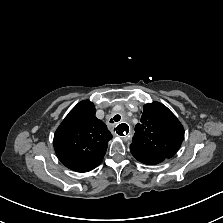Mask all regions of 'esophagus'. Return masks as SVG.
I'll use <instances>...</instances> for the list:
<instances>
[{"instance_id": "obj_1", "label": "esophagus", "mask_w": 223, "mask_h": 223, "mask_svg": "<svg viewBox=\"0 0 223 223\" xmlns=\"http://www.w3.org/2000/svg\"><path fill=\"white\" fill-rule=\"evenodd\" d=\"M117 129V135H119L124 140H128L130 138L131 128L129 125L122 123L116 127ZM115 132V134H116Z\"/></svg>"}]
</instances>
